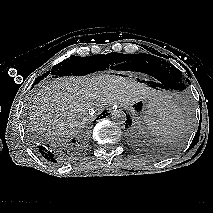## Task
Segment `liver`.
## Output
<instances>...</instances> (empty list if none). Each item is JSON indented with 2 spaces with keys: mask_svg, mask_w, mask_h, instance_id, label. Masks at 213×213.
Listing matches in <instances>:
<instances>
[{
  "mask_svg": "<svg viewBox=\"0 0 213 213\" xmlns=\"http://www.w3.org/2000/svg\"><path fill=\"white\" fill-rule=\"evenodd\" d=\"M168 96L129 77L98 75L58 77L43 85L33 96L30 118L33 129L52 141L74 136L91 121L89 111L105 106H130L140 100L165 109Z\"/></svg>",
  "mask_w": 213,
  "mask_h": 213,
  "instance_id": "1",
  "label": "liver"
}]
</instances>
